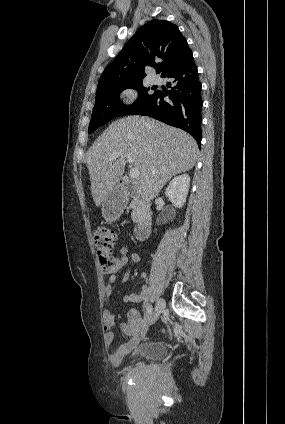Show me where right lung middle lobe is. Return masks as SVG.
<instances>
[{"label":"right lung middle lobe","mask_w":285,"mask_h":424,"mask_svg":"<svg viewBox=\"0 0 285 424\" xmlns=\"http://www.w3.org/2000/svg\"><path fill=\"white\" fill-rule=\"evenodd\" d=\"M127 88H133L139 92L137 100L132 105H124L119 100L120 93ZM155 93L156 91L150 92L148 88H145L142 81L115 84L98 89L88 133H92L117 116L129 114L134 109L147 103Z\"/></svg>","instance_id":"right-lung-middle-lobe-1"}]
</instances>
